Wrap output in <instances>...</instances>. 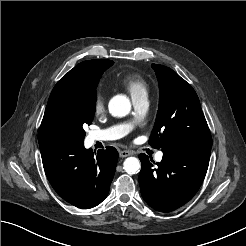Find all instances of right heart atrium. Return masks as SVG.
I'll return each mask as SVG.
<instances>
[{
	"label": "right heart atrium",
	"instance_id": "d8ad5b80",
	"mask_svg": "<svg viewBox=\"0 0 246 246\" xmlns=\"http://www.w3.org/2000/svg\"><path fill=\"white\" fill-rule=\"evenodd\" d=\"M105 98L101 94H97L94 102V112L96 115H100L105 111Z\"/></svg>",
	"mask_w": 246,
	"mask_h": 246
}]
</instances>
